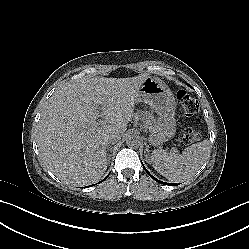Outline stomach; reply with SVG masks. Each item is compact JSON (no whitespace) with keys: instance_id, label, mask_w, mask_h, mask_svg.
Returning a JSON list of instances; mask_svg holds the SVG:
<instances>
[{"instance_id":"obj_1","label":"stomach","mask_w":249,"mask_h":249,"mask_svg":"<svg viewBox=\"0 0 249 249\" xmlns=\"http://www.w3.org/2000/svg\"><path fill=\"white\" fill-rule=\"evenodd\" d=\"M136 97L158 115L154 129L149 136L154 146H161L175 135L173 117V95L165 83L157 78H147L139 86Z\"/></svg>"}]
</instances>
